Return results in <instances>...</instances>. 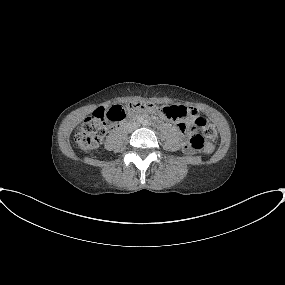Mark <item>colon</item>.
Wrapping results in <instances>:
<instances>
[{
  "instance_id": "obj_1",
  "label": "colon",
  "mask_w": 285,
  "mask_h": 285,
  "mask_svg": "<svg viewBox=\"0 0 285 285\" xmlns=\"http://www.w3.org/2000/svg\"><path fill=\"white\" fill-rule=\"evenodd\" d=\"M161 111L166 118L172 121H180L188 114V110L181 105L157 106L154 102H132L128 104H117L109 109L98 107L82 123L75 134V141L84 151L97 147L110 124L123 121L129 114L136 111ZM196 126L203 127V133L191 132L189 123H182L185 131L183 147L186 151H204L210 153L213 145L207 141L214 139L217 131L213 125H206L203 118L195 122Z\"/></svg>"
}]
</instances>
